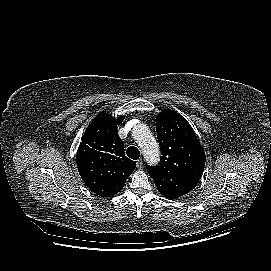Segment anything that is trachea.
Segmentation results:
<instances>
[{"mask_svg": "<svg viewBox=\"0 0 271 271\" xmlns=\"http://www.w3.org/2000/svg\"><path fill=\"white\" fill-rule=\"evenodd\" d=\"M127 156L133 160H137L140 157V151L135 146H130L127 148Z\"/></svg>", "mask_w": 271, "mask_h": 271, "instance_id": "3493384b", "label": "trachea"}]
</instances>
